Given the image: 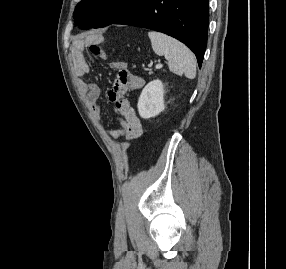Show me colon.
<instances>
[{
	"label": "colon",
	"instance_id": "colon-1",
	"mask_svg": "<svg viewBox=\"0 0 286 269\" xmlns=\"http://www.w3.org/2000/svg\"><path fill=\"white\" fill-rule=\"evenodd\" d=\"M93 48L96 50H101V47L94 43L92 44ZM130 61H117L115 65V70L117 71L115 88H119V92L123 93L124 91H139V88H142V83H144V78H135L129 70ZM129 110H138V105H129Z\"/></svg>",
	"mask_w": 286,
	"mask_h": 269
}]
</instances>
